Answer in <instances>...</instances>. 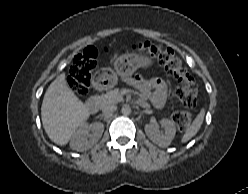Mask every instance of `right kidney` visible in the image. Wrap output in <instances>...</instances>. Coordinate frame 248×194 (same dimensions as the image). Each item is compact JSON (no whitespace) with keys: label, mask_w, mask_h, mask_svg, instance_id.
Wrapping results in <instances>:
<instances>
[{"label":"right kidney","mask_w":248,"mask_h":194,"mask_svg":"<svg viewBox=\"0 0 248 194\" xmlns=\"http://www.w3.org/2000/svg\"><path fill=\"white\" fill-rule=\"evenodd\" d=\"M103 131L104 125L100 122L91 125L83 123L72 135L70 147L76 151H85L98 142Z\"/></svg>","instance_id":"right-kidney-1"}]
</instances>
